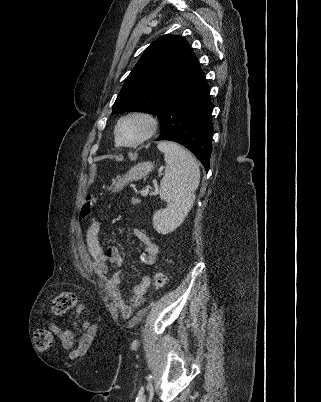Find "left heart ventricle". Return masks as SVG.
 I'll return each instance as SVG.
<instances>
[{
  "label": "left heart ventricle",
  "instance_id": "b2bd125f",
  "mask_svg": "<svg viewBox=\"0 0 321 402\" xmlns=\"http://www.w3.org/2000/svg\"><path fill=\"white\" fill-rule=\"evenodd\" d=\"M146 125L139 119H132L124 122L119 129V136L122 142L131 143L136 141L145 132Z\"/></svg>",
  "mask_w": 321,
  "mask_h": 402
}]
</instances>
